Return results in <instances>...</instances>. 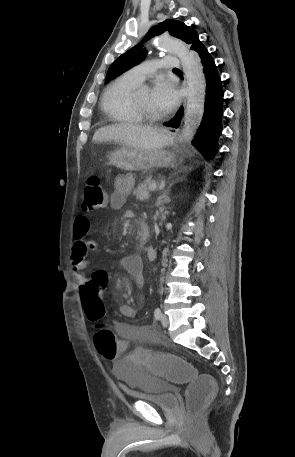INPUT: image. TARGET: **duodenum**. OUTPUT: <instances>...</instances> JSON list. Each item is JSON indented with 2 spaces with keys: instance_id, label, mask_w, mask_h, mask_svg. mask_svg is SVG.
Returning a JSON list of instances; mask_svg holds the SVG:
<instances>
[{
  "instance_id": "obj_1",
  "label": "duodenum",
  "mask_w": 295,
  "mask_h": 457,
  "mask_svg": "<svg viewBox=\"0 0 295 457\" xmlns=\"http://www.w3.org/2000/svg\"><path fill=\"white\" fill-rule=\"evenodd\" d=\"M138 229H139V236H140V243L144 244L147 242L149 236H150V229L148 224L143 221L139 220L138 221Z\"/></svg>"
}]
</instances>
